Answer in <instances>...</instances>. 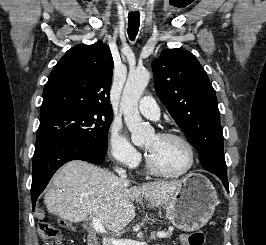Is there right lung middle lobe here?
Wrapping results in <instances>:
<instances>
[{
	"label": "right lung middle lobe",
	"instance_id": "obj_1",
	"mask_svg": "<svg viewBox=\"0 0 266 245\" xmlns=\"http://www.w3.org/2000/svg\"><path fill=\"white\" fill-rule=\"evenodd\" d=\"M112 111L97 107L73 109L40 120L36 145L56 138H68L107 154Z\"/></svg>",
	"mask_w": 266,
	"mask_h": 245
}]
</instances>
